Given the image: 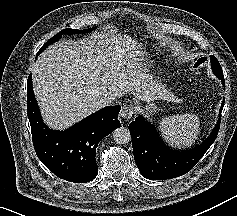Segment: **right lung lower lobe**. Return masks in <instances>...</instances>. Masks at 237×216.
I'll list each match as a JSON object with an SVG mask.
<instances>
[{
	"instance_id": "obj_1",
	"label": "right lung lower lobe",
	"mask_w": 237,
	"mask_h": 216,
	"mask_svg": "<svg viewBox=\"0 0 237 216\" xmlns=\"http://www.w3.org/2000/svg\"><path fill=\"white\" fill-rule=\"evenodd\" d=\"M27 113L34 149L41 162L57 177L74 183H86L98 174L96 147L116 128L121 106H108L86 117L65 131L49 129L42 121L32 89L27 82Z\"/></svg>"
}]
</instances>
